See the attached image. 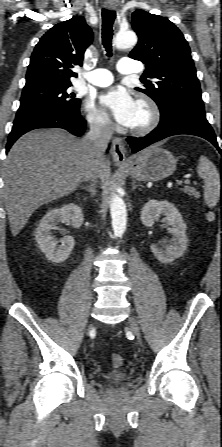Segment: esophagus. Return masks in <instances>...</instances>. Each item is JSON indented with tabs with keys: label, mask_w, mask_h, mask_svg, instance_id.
Instances as JSON below:
<instances>
[{
	"label": "esophagus",
	"mask_w": 222,
	"mask_h": 447,
	"mask_svg": "<svg viewBox=\"0 0 222 447\" xmlns=\"http://www.w3.org/2000/svg\"><path fill=\"white\" fill-rule=\"evenodd\" d=\"M104 4L105 7L109 10H114L115 8L114 0H105ZM111 153L115 163L123 164L126 161L128 153L126 148L124 147L122 138L115 137L113 139Z\"/></svg>",
	"instance_id": "34e87169"
}]
</instances>
